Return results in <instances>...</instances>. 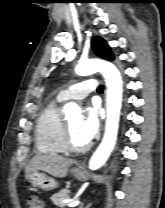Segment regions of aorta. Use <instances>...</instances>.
<instances>
[{"mask_svg":"<svg viewBox=\"0 0 165 208\" xmlns=\"http://www.w3.org/2000/svg\"><path fill=\"white\" fill-rule=\"evenodd\" d=\"M75 71L80 76L100 72L107 84L105 134L89 161V169L97 170L107 161L116 143L122 103V79L120 72L112 63L100 59L82 61L77 65ZM64 111L67 117L81 113V109L75 103L66 104Z\"/></svg>","mask_w":165,"mask_h":208,"instance_id":"762f6f07","label":"aorta"}]
</instances>
